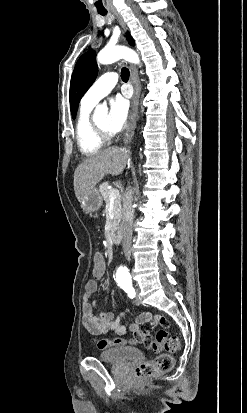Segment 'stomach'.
I'll use <instances>...</instances> for the list:
<instances>
[{"label":"stomach","mask_w":247,"mask_h":413,"mask_svg":"<svg viewBox=\"0 0 247 413\" xmlns=\"http://www.w3.org/2000/svg\"><path fill=\"white\" fill-rule=\"evenodd\" d=\"M79 202L83 213H95L100 209L103 198L97 188H92Z\"/></svg>","instance_id":"0dacf381"}]
</instances>
